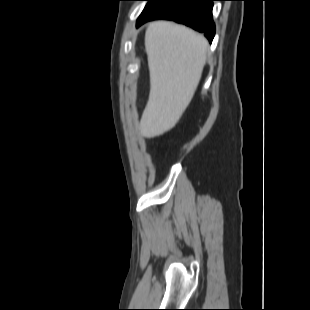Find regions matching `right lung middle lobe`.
<instances>
[{"label":"right lung middle lobe","instance_id":"obj_1","mask_svg":"<svg viewBox=\"0 0 310 310\" xmlns=\"http://www.w3.org/2000/svg\"><path fill=\"white\" fill-rule=\"evenodd\" d=\"M149 1V3L147 4L146 8H149L150 6H152L153 4H155L156 2H159L161 0H147Z\"/></svg>","mask_w":310,"mask_h":310}]
</instances>
